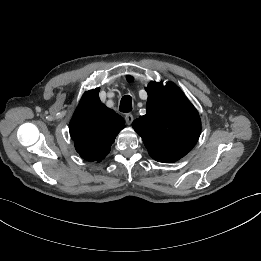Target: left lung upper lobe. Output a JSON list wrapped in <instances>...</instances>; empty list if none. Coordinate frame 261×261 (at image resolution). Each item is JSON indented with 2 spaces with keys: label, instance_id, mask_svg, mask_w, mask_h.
<instances>
[{
  "label": "left lung upper lobe",
  "instance_id": "5c2ea615",
  "mask_svg": "<svg viewBox=\"0 0 261 261\" xmlns=\"http://www.w3.org/2000/svg\"><path fill=\"white\" fill-rule=\"evenodd\" d=\"M147 92V113L135 119L132 126L153 159L177 161L198 141L201 131L198 112L171 82L166 86L151 82Z\"/></svg>",
  "mask_w": 261,
  "mask_h": 261
}]
</instances>
